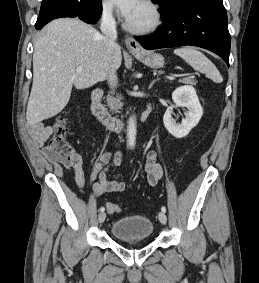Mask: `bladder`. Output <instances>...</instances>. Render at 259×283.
Returning <instances> with one entry per match:
<instances>
[{
  "label": "bladder",
  "mask_w": 259,
  "mask_h": 283,
  "mask_svg": "<svg viewBox=\"0 0 259 283\" xmlns=\"http://www.w3.org/2000/svg\"><path fill=\"white\" fill-rule=\"evenodd\" d=\"M152 233L151 220L140 215L120 218L111 226V234L121 240L148 239Z\"/></svg>",
  "instance_id": "31cf9c89"
}]
</instances>
